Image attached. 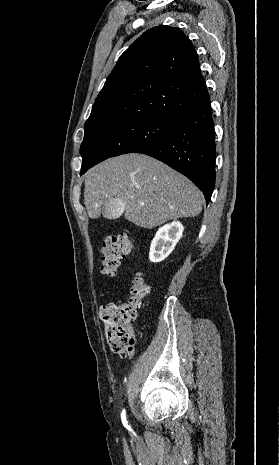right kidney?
I'll use <instances>...</instances> for the list:
<instances>
[{
    "label": "right kidney",
    "instance_id": "1",
    "mask_svg": "<svg viewBox=\"0 0 279 465\" xmlns=\"http://www.w3.org/2000/svg\"><path fill=\"white\" fill-rule=\"evenodd\" d=\"M183 230L184 227L179 221L160 227L151 242L150 261L158 263L168 257L182 237Z\"/></svg>",
    "mask_w": 279,
    "mask_h": 465
}]
</instances>
